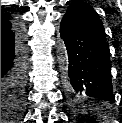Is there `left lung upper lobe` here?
<instances>
[{
	"mask_svg": "<svg viewBox=\"0 0 122 123\" xmlns=\"http://www.w3.org/2000/svg\"><path fill=\"white\" fill-rule=\"evenodd\" d=\"M66 14L87 23L105 35L103 23L91 5L83 1H75L68 7Z\"/></svg>",
	"mask_w": 122,
	"mask_h": 123,
	"instance_id": "1",
	"label": "left lung upper lobe"
}]
</instances>
